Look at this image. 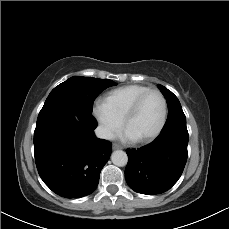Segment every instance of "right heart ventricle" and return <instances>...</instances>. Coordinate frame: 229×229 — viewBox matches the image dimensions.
<instances>
[{"label":"right heart ventricle","mask_w":229,"mask_h":229,"mask_svg":"<svg viewBox=\"0 0 229 229\" xmlns=\"http://www.w3.org/2000/svg\"><path fill=\"white\" fill-rule=\"evenodd\" d=\"M149 89L151 88L140 84L125 85L109 91L103 102L117 119L122 120L129 105Z\"/></svg>","instance_id":"e07e8e85"}]
</instances>
